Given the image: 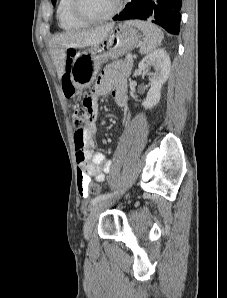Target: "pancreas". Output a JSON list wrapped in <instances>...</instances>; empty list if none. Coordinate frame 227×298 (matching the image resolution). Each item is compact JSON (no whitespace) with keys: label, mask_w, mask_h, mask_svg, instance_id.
I'll return each instance as SVG.
<instances>
[{"label":"pancreas","mask_w":227,"mask_h":298,"mask_svg":"<svg viewBox=\"0 0 227 298\" xmlns=\"http://www.w3.org/2000/svg\"><path fill=\"white\" fill-rule=\"evenodd\" d=\"M109 66L121 71L124 75H129L133 67V59L128 60L125 58L124 60H116L113 61Z\"/></svg>","instance_id":"cf45deb5"}]
</instances>
